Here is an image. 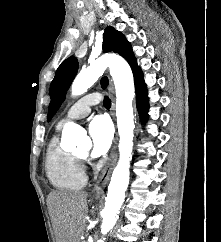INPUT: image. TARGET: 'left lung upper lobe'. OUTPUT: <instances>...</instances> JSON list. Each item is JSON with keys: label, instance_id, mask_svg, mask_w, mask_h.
<instances>
[{"label": "left lung upper lobe", "instance_id": "5c2ea615", "mask_svg": "<svg viewBox=\"0 0 221 242\" xmlns=\"http://www.w3.org/2000/svg\"><path fill=\"white\" fill-rule=\"evenodd\" d=\"M103 39L104 52L113 51L118 53L128 61L133 71L140 69L137 66L131 45L122 33L109 26L104 32ZM77 70L78 61L75 57H69L58 67L55 77L50 85L51 102L48 109V120L53 117L65 99V94L76 76ZM107 83V78H103L101 84L104 88Z\"/></svg>", "mask_w": 221, "mask_h": 242}]
</instances>
